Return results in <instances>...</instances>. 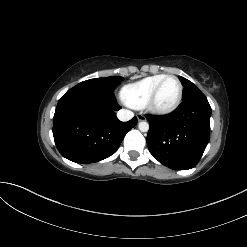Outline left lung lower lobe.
I'll use <instances>...</instances> for the list:
<instances>
[{
    "label": "left lung lower lobe",
    "mask_w": 247,
    "mask_h": 247,
    "mask_svg": "<svg viewBox=\"0 0 247 247\" xmlns=\"http://www.w3.org/2000/svg\"><path fill=\"white\" fill-rule=\"evenodd\" d=\"M211 107L203 93L182 101L166 116H146L149 151L155 159L174 170L195 167L210 137Z\"/></svg>",
    "instance_id": "0a47b994"
}]
</instances>
